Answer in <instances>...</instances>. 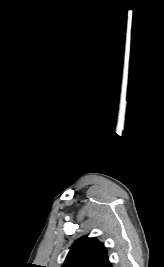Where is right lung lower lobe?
<instances>
[{
	"label": "right lung lower lobe",
	"mask_w": 164,
	"mask_h": 267,
	"mask_svg": "<svg viewBox=\"0 0 164 267\" xmlns=\"http://www.w3.org/2000/svg\"><path fill=\"white\" fill-rule=\"evenodd\" d=\"M103 267H112V266H111L110 262L108 261L103 265Z\"/></svg>",
	"instance_id": "1"
}]
</instances>
